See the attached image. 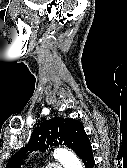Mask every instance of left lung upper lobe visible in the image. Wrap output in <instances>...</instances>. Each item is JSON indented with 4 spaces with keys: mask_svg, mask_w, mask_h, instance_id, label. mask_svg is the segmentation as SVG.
<instances>
[{
    "mask_svg": "<svg viewBox=\"0 0 127 168\" xmlns=\"http://www.w3.org/2000/svg\"><path fill=\"white\" fill-rule=\"evenodd\" d=\"M36 125L29 143L12 155L6 168H20L28 152L45 151L49 146L66 145L77 153L87 138L83 124L75 119L46 117Z\"/></svg>",
    "mask_w": 127,
    "mask_h": 168,
    "instance_id": "left-lung-upper-lobe-1",
    "label": "left lung upper lobe"
}]
</instances>
